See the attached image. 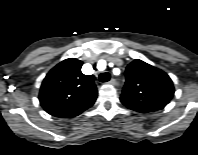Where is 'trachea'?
Instances as JSON below:
<instances>
[{
  "label": "trachea",
  "mask_w": 198,
  "mask_h": 155,
  "mask_svg": "<svg viewBox=\"0 0 198 155\" xmlns=\"http://www.w3.org/2000/svg\"><path fill=\"white\" fill-rule=\"evenodd\" d=\"M109 80H110V74L109 73L105 72V73H101L99 75V81L100 82L104 83V82H107Z\"/></svg>",
  "instance_id": "3493384b"
}]
</instances>
